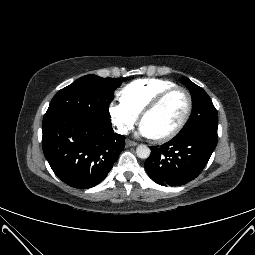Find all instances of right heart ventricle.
I'll return each instance as SVG.
<instances>
[{
	"label": "right heart ventricle",
	"instance_id": "1",
	"mask_svg": "<svg viewBox=\"0 0 255 255\" xmlns=\"http://www.w3.org/2000/svg\"><path fill=\"white\" fill-rule=\"evenodd\" d=\"M176 86L163 79H140L126 85L120 92L121 100L140 114L161 92Z\"/></svg>",
	"mask_w": 255,
	"mask_h": 255
}]
</instances>
